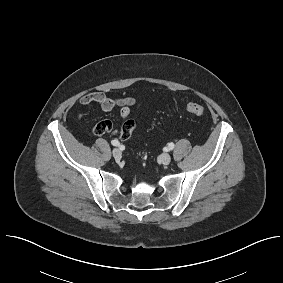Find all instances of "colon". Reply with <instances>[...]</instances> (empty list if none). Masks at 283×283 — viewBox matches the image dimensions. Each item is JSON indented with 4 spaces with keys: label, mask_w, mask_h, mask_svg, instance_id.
Listing matches in <instances>:
<instances>
[{
    "label": "colon",
    "mask_w": 283,
    "mask_h": 283,
    "mask_svg": "<svg viewBox=\"0 0 283 283\" xmlns=\"http://www.w3.org/2000/svg\"><path fill=\"white\" fill-rule=\"evenodd\" d=\"M185 110L195 116H202L205 114V109L203 106L196 103H188L185 105ZM93 131L97 135H104L109 133H115L116 130L113 129L112 124L109 121H101L97 123Z\"/></svg>",
    "instance_id": "5ec220e1"
}]
</instances>
